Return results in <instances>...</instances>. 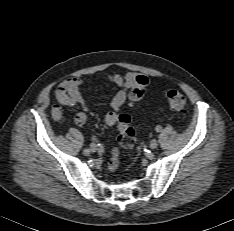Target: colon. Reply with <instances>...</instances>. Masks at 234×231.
Returning <instances> with one entry per match:
<instances>
[{
  "label": "colon",
  "mask_w": 234,
  "mask_h": 231,
  "mask_svg": "<svg viewBox=\"0 0 234 231\" xmlns=\"http://www.w3.org/2000/svg\"><path fill=\"white\" fill-rule=\"evenodd\" d=\"M148 80L143 75H138L135 79L132 89L130 90L129 98L132 104L139 103L146 91ZM164 97L169 106L177 111H182L186 105L185 96L178 90H167L164 92ZM119 136V144L127 149H131L135 143V130L131 125V118L127 114H122L118 119L117 125Z\"/></svg>",
  "instance_id": "5ec220e1"
}]
</instances>
